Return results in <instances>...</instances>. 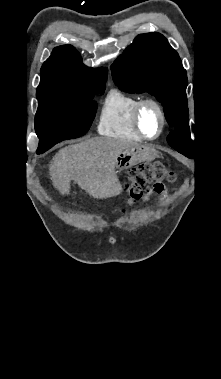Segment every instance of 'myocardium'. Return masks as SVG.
I'll use <instances>...</instances> for the list:
<instances>
[{
  "label": "myocardium",
  "mask_w": 221,
  "mask_h": 379,
  "mask_svg": "<svg viewBox=\"0 0 221 379\" xmlns=\"http://www.w3.org/2000/svg\"><path fill=\"white\" fill-rule=\"evenodd\" d=\"M153 107L156 109L158 115H159V120H160V125H159V129H158V132L154 135H148L144 132L142 126H141V115H142V112L143 110L146 108V107ZM132 122H133V126L136 130V132L143 138V139H147V140H154V139H157L161 136V134L163 133L164 129H165V126H166V115H165V112H164V109L162 107V105L155 99H152V98H146V99H142L134 108L133 110V114H132Z\"/></svg>",
  "instance_id": "f54148a6"
}]
</instances>
